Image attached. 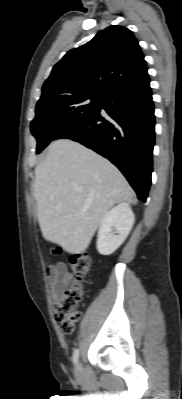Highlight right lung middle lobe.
I'll return each instance as SVG.
<instances>
[{
  "mask_svg": "<svg viewBox=\"0 0 182 399\" xmlns=\"http://www.w3.org/2000/svg\"><path fill=\"white\" fill-rule=\"evenodd\" d=\"M102 95L78 94L38 102L31 132L37 139L39 154L54 137L94 115L101 107Z\"/></svg>",
  "mask_w": 182,
  "mask_h": 399,
  "instance_id": "obj_1",
  "label": "right lung middle lobe"
}]
</instances>
